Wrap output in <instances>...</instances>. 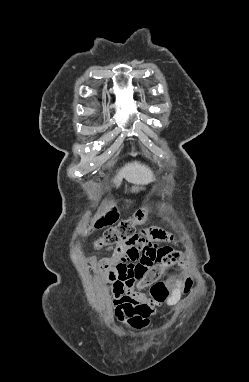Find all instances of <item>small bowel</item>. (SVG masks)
<instances>
[{
	"mask_svg": "<svg viewBox=\"0 0 249 382\" xmlns=\"http://www.w3.org/2000/svg\"><path fill=\"white\" fill-rule=\"evenodd\" d=\"M138 238H141V241H122L109 245L106 250L110 255L101 258L91 256L89 262L109 289L116 318L133 328L141 329L149 325V317L154 312L153 305H161L163 301L134 291V288L143 290L153 282H139L138 278L129 276L128 271L143 258L144 251L140 248H157L159 242L174 244L176 237L165 229L155 226L141 231ZM172 280L176 278L172 277L170 281ZM182 287L186 292L188 285L185 283ZM167 291L168 295L169 289Z\"/></svg>",
	"mask_w": 249,
	"mask_h": 382,
	"instance_id": "1",
	"label": "small bowel"
}]
</instances>
